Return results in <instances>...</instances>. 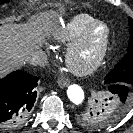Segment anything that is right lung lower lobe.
<instances>
[{"label":"right lung lower lobe","instance_id":"obj_1","mask_svg":"<svg viewBox=\"0 0 133 133\" xmlns=\"http://www.w3.org/2000/svg\"><path fill=\"white\" fill-rule=\"evenodd\" d=\"M39 78L17 70L0 80V128L21 125L36 100Z\"/></svg>","mask_w":133,"mask_h":133}]
</instances>
